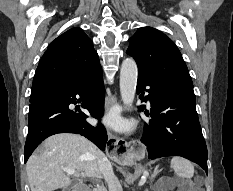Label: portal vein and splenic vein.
<instances>
[{
  "mask_svg": "<svg viewBox=\"0 0 233 191\" xmlns=\"http://www.w3.org/2000/svg\"><path fill=\"white\" fill-rule=\"evenodd\" d=\"M62 169L69 175H72V174L76 173V170H73V169L64 168V167H62Z\"/></svg>",
  "mask_w": 233,
  "mask_h": 191,
  "instance_id": "1",
  "label": "portal vein and splenic vein"
}]
</instances>
